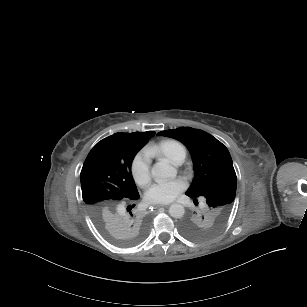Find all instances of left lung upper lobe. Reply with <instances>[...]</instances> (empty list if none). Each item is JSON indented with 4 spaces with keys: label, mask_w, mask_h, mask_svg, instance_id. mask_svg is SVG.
I'll use <instances>...</instances> for the list:
<instances>
[{
    "label": "left lung upper lobe",
    "mask_w": 307,
    "mask_h": 307,
    "mask_svg": "<svg viewBox=\"0 0 307 307\" xmlns=\"http://www.w3.org/2000/svg\"><path fill=\"white\" fill-rule=\"evenodd\" d=\"M158 135L179 140L189 149L194 163V179L186 195L204 201L203 206L184 218L180 231L192 240L215 235L225 224L235 199L237 178L228 149L205 131L180 127Z\"/></svg>",
    "instance_id": "left-lung-upper-lobe-1"
}]
</instances>
